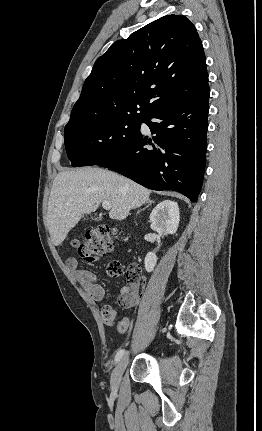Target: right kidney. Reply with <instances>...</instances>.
Here are the masks:
<instances>
[{"label": "right kidney", "instance_id": "ca27d5eb", "mask_svg": "<svg viewBox=\"0 0 262 431\" xmlns=\"http://www.w3.org/2000/svg\"><path fill=\"white\" fill-rule=\"evenodd\" d=\"M149 218L152 230L158 233L174 234L180 221L178 204L171 200H164L152 210ZM156 263V254L148 252L144 261L146 271H153Z\"/></svg>", "mask_w": 262, "mask_h": 431}]
</instances>
